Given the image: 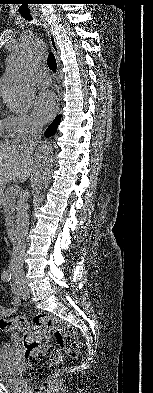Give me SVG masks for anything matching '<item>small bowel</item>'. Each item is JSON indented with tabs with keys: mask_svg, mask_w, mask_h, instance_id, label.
Listing matches in <instances>:
<instances>
[{
	"mask_svg": "<svg viewBox=\"0 0 153 393\" xmlns=\"http://www.w3.org/2000/svg\"><path fill=\"white\" fill-rule=\"evenodd\" d=\"M21 305V300L19 297H13L11 299V308H6L0 305V318L13 314Z\"/></svg>",
	"mask_w": 153,
	"mask_h": 393,
	"instance_id": "obj_1",
	"label": "small bowel"
}]
</instances>
